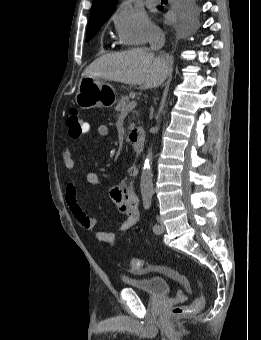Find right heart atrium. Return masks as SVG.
<instances>
[{
	"label": "right heart atrium",
	"mask_w": 261,
	"mask_h": 340,
	"mask_svg": "<svg viewBox=\"0 0 261 340\" xmlns=\"http://www.w3.org/2000/svg\"><path fill=\"white\" fill-rule=\"evenodd\" d=\"M112 20L120 41L125 45H144L149 38L160 34V29L139 9L119 8Z\"/></svg>",
	"instance_id": "obj_1"
}]
</instances>
